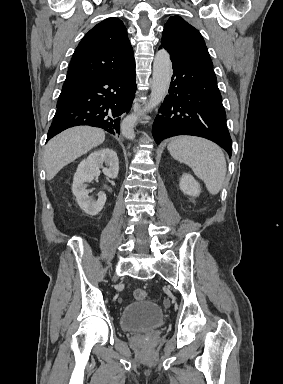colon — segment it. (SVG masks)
<instances>
[{"instance_id": "1", "label": "colon", "mask_w": 283, "mask_h": 384, "mask_svg": "<svg viewBox=\"0 0 283 384\" xmlns=\"http://www.w3.org/2000/svg\"><path fill=\"white\" fill-rule=\"evenodd\" d=\"M133 294L134 298L138 301L145 300L148 297L147 291L141 288L136 289Z\"/></svg>"}]
</instances>
